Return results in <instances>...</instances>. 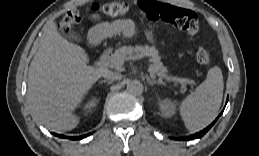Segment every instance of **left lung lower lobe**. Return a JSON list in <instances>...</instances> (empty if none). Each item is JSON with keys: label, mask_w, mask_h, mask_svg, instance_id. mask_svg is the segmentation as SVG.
<instances>
[{"label": "left lung lower lobe", "mask_w": 259, "mask_h": 156, "mask_svg": "<svg viewBox=\"0 0 259 156\" xmlns=\"http://www.w3.org/2000/svg\"><path fill=\"white\" fill-rule=\"evenodd\" d=\"M222 114V112L220 113V115ZM219 115V116H220ZM218 119V118H217ZM217 119L212 123L210 124L207 128H205L204 130L194 134V135H190V136H186V137H182V138H178V140H192V139H195V138H200L202 137L214 124L215 122L217 121Z\"/></svg>", "instance_id": "1"}]
</instances>
